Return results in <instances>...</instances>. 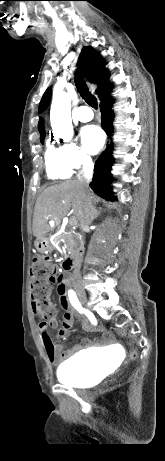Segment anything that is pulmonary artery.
Returning a JSON list of instances; mask_svg holds the SVG:
<instances>
[{"instance_id":"obj_1","label":"pulmonary artery","mask_w":165,"mask_h":461,"mask_svg":"<svg viewBox=\"0 0 165 461\" xmlns=\"http://www.w3.org/2000/svg\"><path fill=\"white\" fill-rule=\"evenodd\" d=\"M78 120L88 122L93 118V112L88 106H81L76 111Z\"/></svg>"}]
</instances>
